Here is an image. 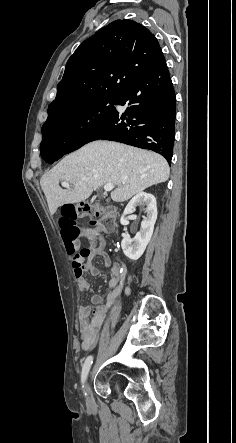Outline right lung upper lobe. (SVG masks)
Listing matches in <instances>:
<instances>
[{"label":"right lung upper lobe","mask_w":236,"mask_h":443,"mask_svg":"<svg viewBox=\"0 0 236 443\" xmlns=\"http://www.w3.org/2000/svg\"><path fill=\"white\" fill-rule=\"evenodd\" d=\"M163 56L156 37L132 20H116L84 41L69 58L48 118L100 96L119 97Z\"/></svg>","instance_id":"1"}]
</instances>
